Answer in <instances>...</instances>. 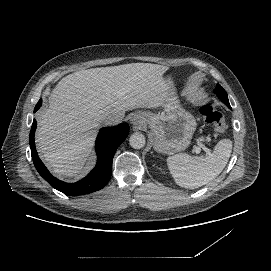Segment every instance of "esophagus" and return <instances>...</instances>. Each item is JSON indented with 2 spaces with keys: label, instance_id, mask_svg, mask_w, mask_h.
I'll use <instances>...</instances> for the list:
<instances>
[{
  "label": "esophagus",
  "instance_id": "34e87169",
  "mask_svg": "<svg viewBox=\"0 0 271 271\" xmlns=\"http://www.w3.org/2000/svg\"><path fill=\"white\" fill-rule=\"evenodd\" d=\"M131 124L136 128V129H142L144 125L143 120H137V119H132Z\"/></svg>",
  "mask_w": 271,
  "mask_h": 271
}]
</instances>
